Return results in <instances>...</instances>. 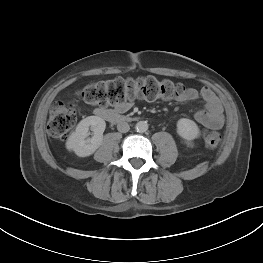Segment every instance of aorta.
Masks as SVG:
<instances>
[{
	"mask_svg": "<svg viewBox=\"0 0 263 263\" xmlns=\"http://www.w3.org/2000/svg\"><path fill=\"white\" fill-rule=\"evenodd\" d=\"M135 128L138 132H146L148 130V123L146 121H139Z\"/></svg>",
	"mask_w": 263,
	"mask_h": 263,
	"instance_id": "1",
	"label": "aorta"
}]
</instances>
